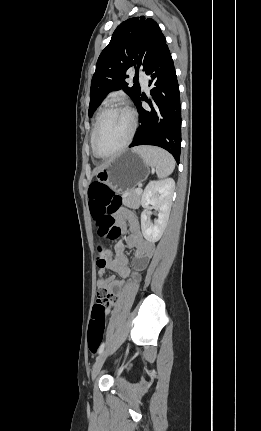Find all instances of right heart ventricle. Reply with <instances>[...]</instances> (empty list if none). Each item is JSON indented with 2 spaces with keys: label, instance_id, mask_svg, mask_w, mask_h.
Segmentation results:
<instances>
[{
  "label": "right heart ventricle",
  "instance_id": "obj_1",
  "mask_svg": "<svg viewBox=\"0 0 261 431\" xmlns=\"http://www.w3.org/2000/svg\"><path fill=\"white\" fill-rule=\"evenodd\" d=\"M97 118H98V116H96L95 122H94L92 130H91V134H90V144H91V147H92L93 132H94V128H95V124H96ZM92 150H93V148H92Z\"/></svg>",
  "mask_w": 261,
  "mask_h": 431
}]
</instances>
